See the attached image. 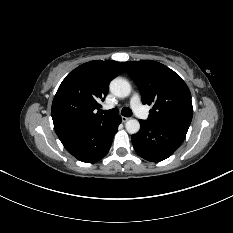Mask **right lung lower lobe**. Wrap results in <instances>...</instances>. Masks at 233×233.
<instances>
[{
    "instance_id": "1",
    "label": "right lung lower lobe",
    "mask_w": 233,
    "mask_h": 233,
    "mask_svg": "<svg viewBox=\"0 0 233 233\" xmlns=\"http://www.w3.org/2000/svg\"><path fill=\"white\" fill-rule=\"evenodd\" d=\"M121 117H109L91 122L59 137L66 150L82 162L93 163L109 151Z\"/></svg>"
}]
</instances>
